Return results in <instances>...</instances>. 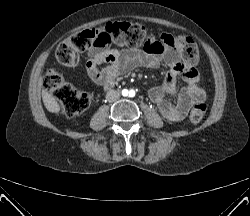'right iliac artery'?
Listing matches in <instances>:
<instances>
[{
    "mask_svg": "<svg viewBox=\"0 0 250 216\" xmlns=\"http://www.w3.org/2000/svg\"><path fill=\"white\" fill-rule=\"evenodd\" d=\"M122 93H123V95H127L128 91L127 90H123Z\"/></svg>",
    "mask_w": 250,
    "mask_h": 216,
    "instance_id": "right-iliac-artery-1",
    "label": "right iliac artery"
}]
</instances>
